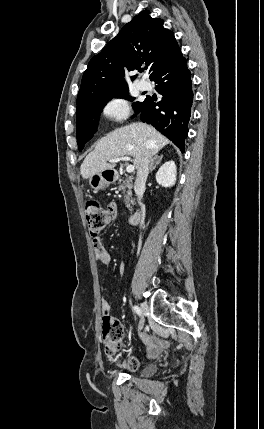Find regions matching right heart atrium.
I'll return each mask as SVG.
<instances>
[{
  "label": "right heart atrium",
  "instance_id": "right-heart-atrium-1",
  "mask_svg": "<svg viewBox=\"0 0 264 429\" xmlns=\"http://www.w3.org/2000/svg\"><path fill=\"white\" fill-rule=\"evenodd\" d=\"M102 117L110 124L117 125L128 120L131 113L129 102L121 96L108 98L101 106Z\"/></svg>",
  "mask_w": 264,
  "mask_h": 429
}]
</instances>
